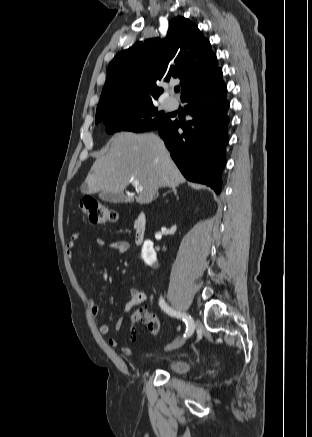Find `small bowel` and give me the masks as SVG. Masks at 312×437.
Listing matches in <instances>:
<instances>
[{
  "instance_id": "1",
  "label": "small bowel",
  "mask_w": 312,
  "mask_h": 437,
  "mask_svg": "<svg viewBox=\"0 0 312 437\" xmlns=\"http://www.w3.org/2000/svg\"><path fill=\"white\" fill-rule=\"evenodd\" d=\"M80 238H81V233L76 232L72 235L70 241H68L66 244V248H65L66 255L70 259H72L74 256V248L76 245V241L79 240ZM96 244L100 247L107 246L111 250L116 251L118 253H125L129 248V243L125 240H116V241L107 243L106 240H104L102 238H98L96 240ZM129 293H130V297L123 305V314L124 315L128 314L132 309H134L135 307L144 303L146 301V298H147L145 292H143L135 287L130 288ZM89 305H90V309H91L92 314L97 316L100 313L99 304L95 300L90 299ZM124 315L117 320V322L115 324L116 330H119L121 328V326L124 322ZM109 331H110V327L107 323H102L99 326L100 334L107 335L109 333ZM108 344L114 348L119 346V342L113 337L108 338ZM122 351L127 355L132 354V350L129 348H122Z\"/></svg>"
}]
</instances>
